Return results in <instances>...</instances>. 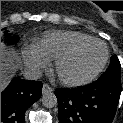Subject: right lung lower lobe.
<instances>
[{
    "label": "right lung lower lobe",
    "mask_w": 123,
    "mask_h": 123,
    "mask_svg": "<svg viewBox=\"0 0 123 123\" xmlns=\"http://www.w3.org/2000/svg\"><path fill=\"white\" fill-rule=\"evenodd\" d=\"M42 85L14 78L1 93V123H25V112L41 97Z\"/></svg>",
    "instance_id": "obj_1"
}]
</instances>
